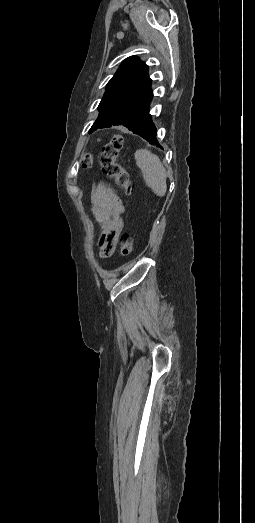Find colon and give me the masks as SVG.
<instances>
[{
  "instance_id": "obj_1",
  "label": "colon",
  "mask_w": 255,
  "mask_h": 523,
  "mask_svg": "<svg viewBox=\"0 0 255 523\" xmlns=\"http://www.w3.org/2000/svg\"><path fill=\"white\" fill-rule=\"evenodd\" d=\"M123 146V139L120 135H114L112 139L104 145L98 156L99 164L102 171L109 177L113 178L116 185L124 193L131 192V179L129 172L118 162L119 152ZM93 164L91 155L85 154L82 158V166L90 168ZM134 249V241L130 234L125 233L121 237L119 253L121 256H128Z\"/></svg>"
}]
</instances>
